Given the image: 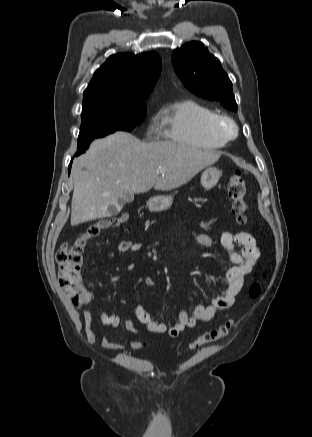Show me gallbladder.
Wrapping results in <instances>:
<instances>
[{
    "mask_svg": "<svg viewBox=\"0 0 312 437\" xmlns=\"http://www.w3.org/2000/svg\"><path fill=\"white\" fill-rule=\"evenodd\" d=\"M133 198H134L133 194L127 193L125 195L124 199H119L117 204L109 206L108 210H107V217H112V216L118 215L120 210L122 209L123 205L126 202H128V203L132 202Z\"/></svg>",
    "mask_w": 312,
    "mask_h": 437,
    "instance_id": "gallbladder-1",
    "label": "gallbladder"
}]
</instances>
